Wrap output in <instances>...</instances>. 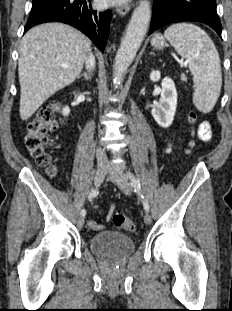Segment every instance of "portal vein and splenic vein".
I'll return each mask as SVG.
<instances>
[{"label": "portal vein and splenic vein", "mask_w": 232, "mask_h": 311, "mask_svg": "<svg viewBox=\"0 0 232 311\" xmlns=\"http://www.w3.org/2000/svg\"><path fill=\"white\" fill-rule=\"evenodd\" d=\"M62 67H63V68H67L68 66H67V65H62Z\"/></svg>", "instance_id": "18ae733b"}]
</instances>
